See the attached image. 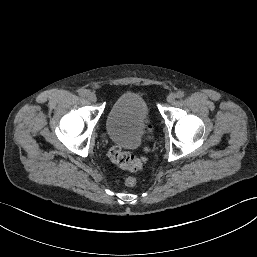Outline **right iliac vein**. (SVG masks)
Masks as SVG:
<instances>
[{
	"instance_id": "obj_1",
	"label": "right iliac vein",
	"mask_w": 257,
	"mask_h": 257,
	"mask_svg": "<svg viewBox=\"0 0 257 257\" xmlns=\"http://www.w3.org/2000/svg\"><path fill=\"white\" fill-rule=\"evenodd\" d=\"M86 97H87V99H88L90 102H96V96H95L94 93L88 92V93L86 94Z\"/></svg>"
}]
</instances>
